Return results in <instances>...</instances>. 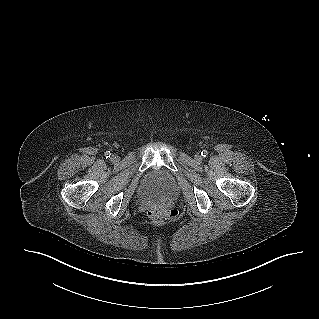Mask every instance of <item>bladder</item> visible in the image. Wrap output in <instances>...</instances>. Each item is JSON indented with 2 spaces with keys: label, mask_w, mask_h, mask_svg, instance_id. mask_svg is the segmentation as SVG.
<instances>
[{
  "label": "bladder",
  "mask_w": 319,
  "mask_h": 319,
  "mask_svg": "<svg viewBox=\"0 0 319 319\" xmlns=\"http://www.w3.org/2000/svg\"><path fill=\"white\" fill-rule=\"evenodd\" d=\"M178 190L174 176L164 169L149 172L142 180L138 194L146 203L153 204L169 200Z\"/></svg>",
  "instance_id": "1"
}]
</instances>
